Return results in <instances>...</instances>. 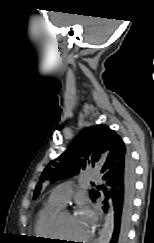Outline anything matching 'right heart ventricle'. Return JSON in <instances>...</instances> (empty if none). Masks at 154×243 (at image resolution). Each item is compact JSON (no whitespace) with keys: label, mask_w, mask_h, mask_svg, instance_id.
Returning <instances> with one entry per match:
<instances>
[{"label":"right heart ventricle","mask_w":154,"mask_h":243,"mask_svg":"<svg viewBox=\"0 0 154 243\" xmlns=\"http://www.w3.org/2000/svg\"><path fill=\"white\" fill-rule=\"evenodd\" d=\"M60 206L48 200L40 209L34 224V232L38 237L49 240L57 239L54 232V213Z\"/></svg>","instance_id":"right-heart-ventricle-1"}]
</instances>
